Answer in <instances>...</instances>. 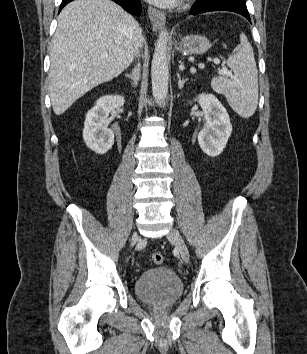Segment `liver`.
<instances>
[{
  "label": "liver",
  "mask_w": 307,
  "mask_h": 354,
  "mask_svg": "<svg viewBox=\"0 0 307 354\" xmlns=\"http://www.w3.org/2000/svg\"><path fill=\"white\" fill-rule=\"evenodd\" d=\"M143 41L139 24L111 0H75L66 5L50 46L49 95L54 113L63 114L85 93L120 75Z\"/></svg>",
  "instance_id": "liver-1"
}]
</instances>
